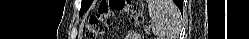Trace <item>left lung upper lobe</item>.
<instances>
[{
	"label": "left lung upper lobe",
	"instance_id": "5c2ea615",
	"mask_svg": "<svg viewBox=\"0 0 249 39\" xmlns=\"http://www.w3.org/2000/svg\"><path fill=\"white\" fill-rule=\"evenodd\" d=\"M91 3H92L91 0H82V6H81L80 13L83 14L87 10V8L90 6Z\"/></svg>",
	"mask_w": 249,
	"mask_h": 39
}]
</instances>
